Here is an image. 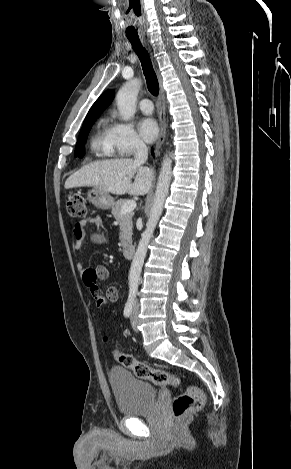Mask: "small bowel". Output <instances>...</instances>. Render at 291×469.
<instances>
[{
  "instance_id": "c3829d8e",
  "label": "small bowel",
  "mask_w": 291,
  "mask_h": 469,
  "mask_svg": "<svg viewBox=\"0 0 291 469\" xmlns=\"http://www.w3.org/2000/svg\"><path fill=\"white\" fill-rule=\"evenodd\" d=\"M89 225H95L98 231L92 234L91 239L93 242L100 244L104 242V236L100 232L102 226V220L100 217L88 218L81 220L74 224L73 227V237H74V249L75 251H80L82 248L83 240L86 236V229ZM77 269L83 271V265L81 263L77 264ZM109 276V272L104 266H97L93 269H88L83 271V281L84 284L88 287L90 294L93 298L96 296H101L106 303L115 302L119 297V293L116 287H110L107 289L105 296L102 294V291L98 287L97 281L105 280Z\"/></svg>"
}]
</instances>
